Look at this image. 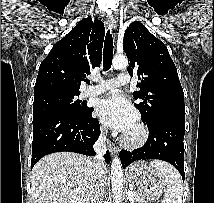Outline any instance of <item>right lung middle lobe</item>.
<instances>
[{
	"instance_id": "1",
	"label": "right lung middle lobe",
	"mask_w": 214,
	"mask_h": 203,
	"mask_svg": "<svg viewBox=\"0 0 214 203\" xmlns=\"http://www.w3.org/2000/svg\"><path fill=\"white\" fill-rule=\"evenodd\" d=\"M80 93H52L38 98L33 102V119L53 113H87L90 108L84 101L77 98Z\"/></svg>"
}]
</instances>
